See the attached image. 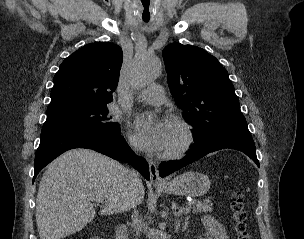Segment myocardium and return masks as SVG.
<instances>
[{
	"label": "myocardium",
	"mask_w": 304,
	"mask_h": 239,
	"mask_svg": "<svg viewBox=\"0 0 304 239\" xmlns=\"http://www.w3.org/2000/svg\"><path fill=\"white\" fill-rule=\"evenodd\" d=\"M173 123L179 128L182 139L178 145L162 153V157L165 159H177L184 156L192 149L196 141L195 128L190 122L176 118Z\"/></svg>",
	"instance_id": "f54148a6"
}]
</instances>
